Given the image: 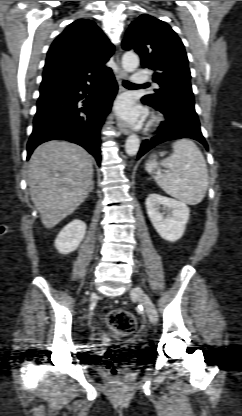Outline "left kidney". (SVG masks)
<instances>
[{"label":"left kidney","instance_id":"5707ae66","mask_svg":"<svg viewBox=\"0 0 242 416\" xmlns=\"http://www.w3.org/2000/svg\"><path fill=\"white\" fill-rule=\"evenodd\" d=\"M146 209L150 221L163 239L175 242L183 236L190 216V209L185 203L150 194L146 199ZM160 209L165 212L161 213Z\"/></svg>","mask_w":242,"mask_h":416}]
</instances>
